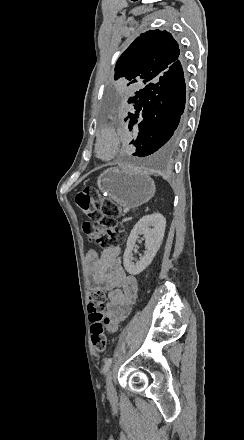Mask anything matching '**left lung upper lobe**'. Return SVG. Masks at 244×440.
I'll return each mask as SVG.
<instances>
[{
    "label": "left lung upper lobe",
    "mask_w": 244,
    "mask_h": 440,
    "mask_svg": "<svg viewBox=\"0 0 244 440\" xmlns=\"http://www.w3.org/2000/svg\"><path fill=\"white\" fill-rule=\"evenodd\" d=\"M180 59L178 43L167 31L142 33L120 56L114 79H126L127 85L139 82L147 85L157 80Z\"/></svg>",
    "instance_id": "obj_1"
}]
</instances>
